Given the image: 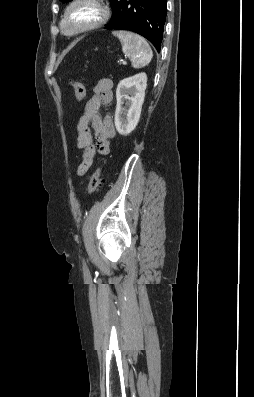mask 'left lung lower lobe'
<instances>
[{
	"label": "left lung lower lobe",
	"mask_w": 254,
	"mask_h": 397,
	"mask_svg": "<svg viewBox=\"0 0 254 397\" xmlns=\"http://www.w3.org/2000/svg\"><path fill=\"white\" fill-rule=\"evenodd\" d=\"M113 15L106 29L134 31L160 52L167 13L166 0H113Z\"/></svg>",
	"instance_id": "left-lung-lower-lobe-1"
}]
</instances>
